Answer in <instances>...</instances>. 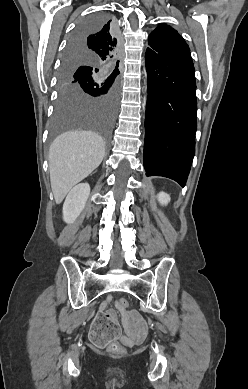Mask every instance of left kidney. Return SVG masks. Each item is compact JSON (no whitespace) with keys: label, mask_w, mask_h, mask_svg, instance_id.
I'll return each mask as SVG.
<instances>
[{"label":"left kidney","mask_w":248,"mask_h":389,"mask_svg":"<svg viewBox=\"0 0 248 389\" xmlns=\"http://www.w3.org/2000/svg\"><path fill=\"white\" fill-rule=\"evenodd\" d=\"M158 201L162 204V205H167L168 202H170V196L165 193V192H160L158 194Z\"/></svg>","instance_id":"5707ae66"}]
</instances>
